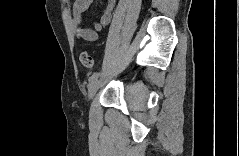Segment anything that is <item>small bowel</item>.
Masks as SVG:
<instances>
[{
	"label": "small bowel",
	"instance_id": "small-bowel-1",
	"mask_svg": "<svg viewBox=\"0 0 239 156\" xmlns=\"http://www.w3.org/2000/svg\"><path fill=\"white\" fill-rule=\"evenodd\" d=\"M91 0H76L72 7L73 29L75 35L85 41H95L98 32L102 31L111 21L112 11L115 6L114 0H108L106 6L101 11L99 21H95L92 28L83 24V15L88 9Z\"/></svg>",
	"mask_w": 239,
	"mask_h": 156
}]
</instances>
